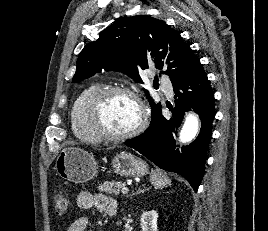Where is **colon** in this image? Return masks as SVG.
<instances>
[{
  "label": "colon",
  "mask_w": 268,
  "mask_h": 231,
  "mask_svg": "<svg viewBox=\"0 0 268 231\" xmlns=\"http://www.w3.org/2000/svg\"><path fill=\"white\" fill-rule=\"evenodd\" d=\"M70 206V199L63 193H57L54 197L55 212L59 215L65 213Z\"/></svg>",
  "instance_id": "colon-1"
}]
</instances>
